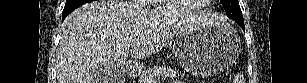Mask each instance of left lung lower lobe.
<instances>
[{"label": "left lung lower lobe", "mask_w": 307, "mask_h": 83, "mask_svg": "<svg viewBox=\"0 0 307 83\" xmlns=\"http://www.w3.org/2000/svg\"><path fill=\"white\" fill-rule=\"evenodd\" d=\"M238 24L242 27L243 30H245L244 23H238Z\"/></svg>", "instance_id": "left-lung-lower-lobe-1"}]
</instances>
